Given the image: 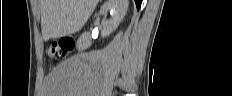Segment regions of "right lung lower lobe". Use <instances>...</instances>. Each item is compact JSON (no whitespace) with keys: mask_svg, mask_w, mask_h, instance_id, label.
<instances>
[{"mask_svg":"<svg viewBox=\"0 0 232 96\" xmlns=\"http://www.w3.org/2000/svg\"><path fill=\"white\" fill-rule=\"evenodd\" d=\"M135 3H136V6H137V9H139L140 6H141L142 0H135Z\"/></svg>","mask_w":232,"mask_h":96,"instance_id":"98d812e1","label":"right lung lower lobe"}]
</instances>
